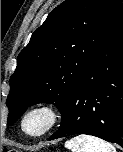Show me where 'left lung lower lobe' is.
I'll use <instances>...</instances> for the list:
<instances>
[{
  "instance_id": "obj_1",
  "label": "left lung lower lobe",
  "mask_w": 123,
  "mask_h": 152,
  "mask_svg": "<svg viewBox=\"0 0 123 152\" xmlns=\"http://www.w3.org/2000/svg\"><path fill=\"white\" fill-rule=\"evenodd\" d=\"M61 113L49 140L88 134L123 147V7Z\"/></svg>"
}]
</instances>
